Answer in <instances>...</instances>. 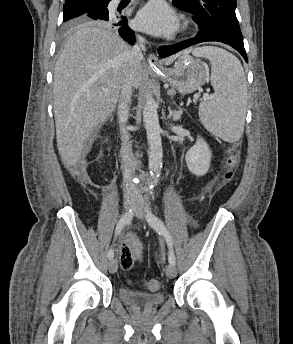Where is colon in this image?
Returning a JSON list of instances; mask_svg holds the SVG:
<instances>
[{"instance_id":"colon-1","label":"colon","mask_w":293,"mask_h":344,"mask_svg":"<svg viewBox=\"0 0 293 344\" xmlns=\"http://www.w3.org/2000/svg\"><path fill=\"white\" fill-rule=\"evenodd\" d=\"M228 156L226 159V170L223 175L225 181H230L233 178L235 169L238 165V151L235 147H230L228 149ZM148 289L154 291L157 290L160 286L159 282L156 279H150L147 281Z\"/></svg>"}]
</instances>
